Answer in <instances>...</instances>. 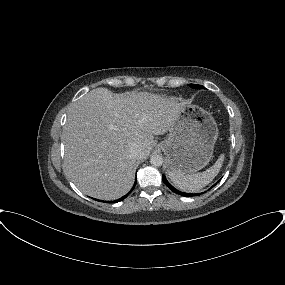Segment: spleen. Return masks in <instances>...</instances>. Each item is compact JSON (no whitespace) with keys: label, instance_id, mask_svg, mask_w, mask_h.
Listing matches in <instances>:
<instances>
[{"label":"spleen","instance_id":"obj_1","mask_svg":"<svg viewBox=\"0 0 285 285\" xmlns=\"http://www.w3.org/2000/svg\"><path fill=\"white\" fill-rule=\"evenodd\" d=\"M224 161L221 154L215 164L202 173L181 174L169 172V178L173 184L185 192H198L207 186L218 175Z\"/></svg>","mask_w":285,"mask_h":285}]
</instances>
